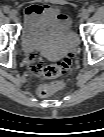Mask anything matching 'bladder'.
<instances>
[{"instance_id": "1", "label": "bladder", "mask_w": 104, "mask_h": 137, "mask_svg": "<svg viewBox=\"0 0 104 137\" xmlns=\"http://www.w3.org/2000/svg\"><path fill=\"white\" fill-rule=\"evenodd\" d=\"M22 38L29 39L30 45L35 50L53 60L74 51L79 43L77 36L70 32L69 23L65 24L58 18L32 35L22 34Z\"/></svg>"}]
</instances>
